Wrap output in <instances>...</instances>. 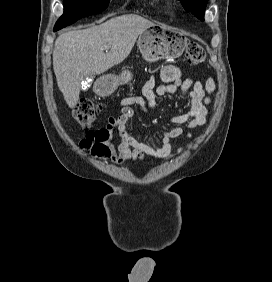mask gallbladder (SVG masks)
Instances as JSON below:
<instances>
[{"label": "gallbladder", "instance_id": "bac80fb5", "mask_svg": "<svg viewBox=\"0 0 272 282\" xmlns=\"http://www.w3.org/2000/svg\"><path fill=\"white\" fill-rule=\"evenodd\" d=\"M91 86V82H88L86 89H84L85 91L89 89V87Z\"/></svg>", "mask_w": 272, "mask_h": 282}]
</instances>
